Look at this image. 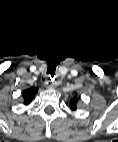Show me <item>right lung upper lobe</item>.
Wrapping results in <instances>:
<instances>
[{"mask_svg": "<svg viewBox=\"0 0 118 142\" xmlns=\"http://www.w3.org/2000/svg\"><path fill=\"white\" fill-rule=\"evenodd\" d=\"M38 91V88H35V87H31V88H28L26 90L23 91V99H24V103L27 105L29 104L33 97L35 96V94L37 93Z\"/></svg>", "mask_w": 118, "mask_h": 142, "instance_id": "obj_1", "label": "right lung upper lobe"}]
</instances>
